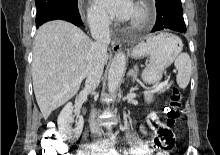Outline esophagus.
I'll use <instances>...</instances> for the list:
<instances>
[{
	"label": "esophagus",
	"instance_id": "esophagus-1",
	"mask_svg": "<svg viewBox=\"0 0 220 155\" xmlns=\"http://www.w3.org/2000/svg\"><path fill=\"white\" fill-rule=\"evenodd\" d=\"M122 45L119 42H112V49L113 51H119L121 49Z\"/></svg>",
	"mask_w": 220,
	"mask_h": 155
}]
</instances>
